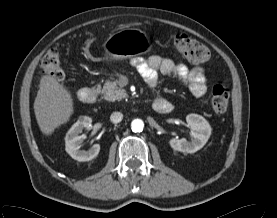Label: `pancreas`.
I'll return each instance as SVG.
<instances>
[{"label": "pancreas", "instance_id": "pancreas-1", "mask_svg": "<svg viewBox=\"0 0 277 218\" xmlns=\"http://www.w3.org/2000/svg\"><path fill=\"white\" fill-rule=\"evenodd\" d=\"M97 89L100 90L103 98L108 101H120L128 96L126 90L118 86V81H106L102 89L100 86Z\"/></svg>", "mask_w": 277, "mask_h": 218}]
</instances>
